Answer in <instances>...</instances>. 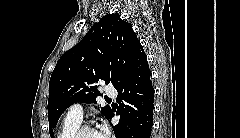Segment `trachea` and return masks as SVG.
<instances>
[{"label": "trachea", "mask_w": 240, "mask_h": 138, "mask_svg": "<svg viewBox=\"0 0 240 138\" xmlns=\"http://www.w3.org/2000/svg\"><path fill=\"white\" fill-rule=\"evenodd\" d=\"M106 100H107V101H110L111 99L107 98Z\"/></svg>", "instance_id": "3493384b"}]
</instances>
